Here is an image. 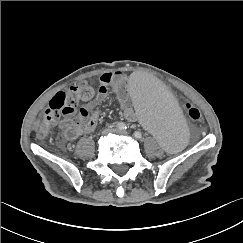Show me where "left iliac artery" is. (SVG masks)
I'll return each mask as SVG.
<instances>
[{
	"instance_id": "left-iliac-artery-1",
	"label": "left iliac artery",
	"mask_w": 243,
	"mask_h": 243,
	"mask_svg": "<svg viewBox=\"0 0 243 243\" xmlns=\"http://www.w3.org/2000/svg\"><path fill=\"white\" fill-rule=\"evenodd\" d=\"M134 136H135V138L140 139L141 136H142V134H141L139 131H136V132L134 133Z\"/></svg>"
}]
</instances>
